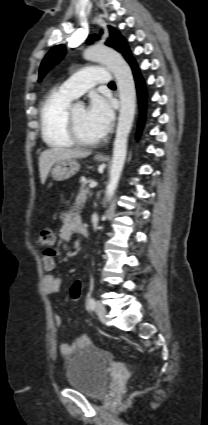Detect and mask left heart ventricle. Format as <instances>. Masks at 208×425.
Listing matches in <instances>:
<instances>
[{
  "label": "left heart ventricle",
  "mask_w": 208,
  "mask_h": 425,
  "mask_svg": "<svg viewBox=\"0 0 208 425\" xmlns=\"http://www.w3.org/2000/svg\"><path fill=\"white\" fill-rule=\"evenodd\" d=\"M73 115L77 129L82 138L85 140H96L100 138L89 124L86 117V109L84 107H74Z\"/></svg>",
  "instance_id": "left-heart-ventricle-1"
}]
</instances>
